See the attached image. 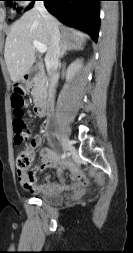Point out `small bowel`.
<instances>
[{"label":"small bowel","mask_w":133,"mask_h":253,"mask_svg":"<svg viewBox=\"0 0 133 253\" xmlns=\"http://www.w3.org/2000/svg\"><path fill=\"white\" fill-rule=\"evenodd\" d=\"M31 146L37 149L39 153L40 165L33 167L29 171L17 170L18 181L25 190L31 193H40L61 188V186L53 184L49 177H46L42 183H39L37 174L47 167H57L59 175H61L63 169H69L75 180L73 184L74 189H79L87 184L88 180L85 174L78 170L71 161L60 159L53 150L44 147L40 136L32 139Z\"/></svg>","instance_id":"small-bowel-1"}]
</instances>
